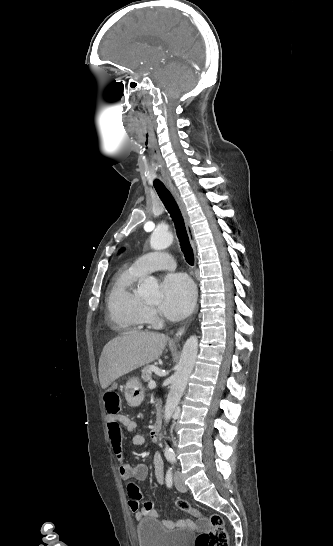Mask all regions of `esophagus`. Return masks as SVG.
<instances>
[{
    "label": "esophagus",
    "mask_w": 333,
    "mask_h": 546,
    "mask_svg": "<svg viewBox=\"0 0 333 546\" xmlns=\"http://www.w3.org/2000/svg\"><path fill=\"white\" fill-rule=\"evenodd\" d=\"M168 189L170 190V192L172 193L174 199L176 200L178 206H179V209L182 213V216L184 218V222H185V225H186V228H187V232H188V236H189V239H190V242L192 244V247H193V251H194V259H195V265L197 263V252H196V243H195V239H194V235H193V229H192V226L190 224V220H189V216H188V213H187V210H186V207L183 203V200L178 192V190L176 189V187L172 184H168ZM197 308L196 307V310L195 312L197 311ZM185 327L186 325L182 326L179 328V330L176 332V334L174 335V338L173 340L174 341H179L184 332H185Z\"/></svg>",
    "instance_id": "34e87169"
}]
</instances>
